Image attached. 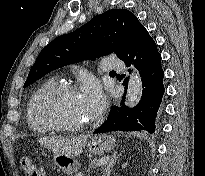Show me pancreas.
<instances>
[{
	"label": "pancreas",
	"mask_w": 205,
	"mask_h": 176,
	"mask_svg": "<svg viewBox=\"0 0 205 176\" xmlns=\"http://www.w3.org/2000/svg\"><path fill=\"white\" fill-rule=\"evenodd\" d=\"M75 176H82V174H81V173H78V174H76Z\"/></svg>",
	"instance_id": "cf45deb5"
}]
</instances>
